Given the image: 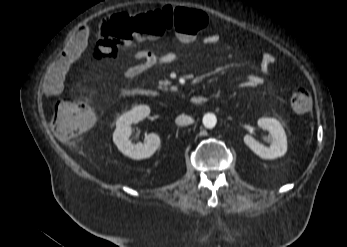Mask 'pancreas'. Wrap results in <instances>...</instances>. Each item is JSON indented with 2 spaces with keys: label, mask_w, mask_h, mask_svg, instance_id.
Returning a JSON list of instances; mask_svg holds the SVG:
<instances>
[{
  "label": "pancreas",
  "mask_w": 347,
  "mask_h": 247,
  "mask_svg": "<svg viewBox=\"0 0 347 247\" xmlns=\"http://www.w3.org/2000/svg\"><path fill=\"white\" fill-rule=\"evenodd\" d=\"M158 88L167 91V90H168L167 82H165V81H160V82H159V85H158Z\"/></svg>",
  "instance_id": "pancreas-1"
}]
</instances>
